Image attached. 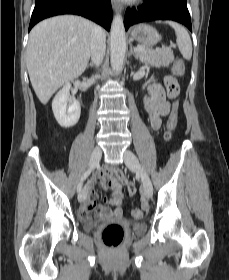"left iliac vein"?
<instances>
[{"label": "left iliac vein", "instance_id": "obj_1", "mask_svg": "<svg viewBox=\"0 0 229 280\" xmlns=\"http://www.w3.org/2000/svg\"><path fill=\"white\" fill-rule=\"evenodd\" d=\"M124 162L125 165L132 171H135L141 179L143 190L145 196L149 199L152 197L153 194V186L151 180L144 170V168L139 163L138 158L135 156L133 152L130 150H125L124 152Z\"/></svg>", "mask_w": 229, "mask_h": 280}]
</instances>
